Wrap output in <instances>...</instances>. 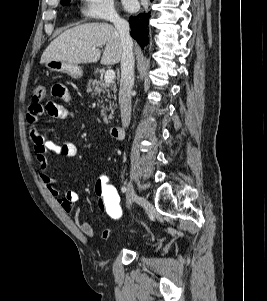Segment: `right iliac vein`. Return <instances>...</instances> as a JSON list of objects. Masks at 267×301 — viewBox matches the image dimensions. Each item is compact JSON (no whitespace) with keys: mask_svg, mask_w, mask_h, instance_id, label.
I'll return each mask as SVG.
<instances>
[{"mask_svg":"<svg viewBox=\"0 0 267 301\" xmlns=\"http://www.w3.org/2000/svg\"><path fill=\"white\" fill-rule=\"evenodd\" d=\"M126 199H127V202L133 203V201H136L141 204H147V202L145 200H142L141 198H139L137 196V194L135 193L134 187H133L132 183H130V182L128 183V186H127ZM128 206H130V205L128 204Z\"/></svg>","mask_w":267,"mask_h":301,"instance_id":"obj_1","label":"right iliac vein"}]
</instances>
